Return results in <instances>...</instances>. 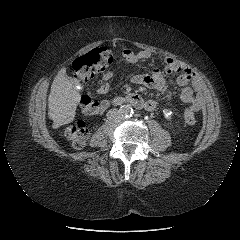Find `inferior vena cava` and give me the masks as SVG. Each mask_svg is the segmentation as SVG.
<instances>
[{"label": "inferior vena cava", "mask_w": 240, "mask_h": 240, "mask_svg": "<svg viewBox=\"0 0 240 240\" xmlns=\"http://www.w3.org/2000/svg\"><path fill=\"white\" fill-rule=\"evenodd\" d=\"M121 117L118 109H111L107 112V119L110 121H116Z\"/></svg>", "instance_id": "inferior-vena-cava-1"}]
</instances>
